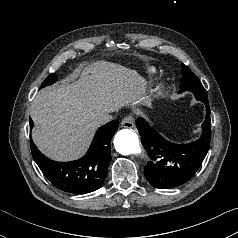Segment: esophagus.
Returning <instances> with one entry per match:
<instances>
[{"instance_id": "1", "label": "esophagus", "mask_w": 238, "mask_h": 238, "mask_svg": "<svg viewBox=\"0 0 238 238\" xmlns=\"http://www.w3.org/2000/svg\"><path fill=\"white\" fill-rule=\"evenodd\" d=\"M121 127L123 128H133L134 118L131 115L125 116L121 121Z\"/></svg>"}]
</instances>
